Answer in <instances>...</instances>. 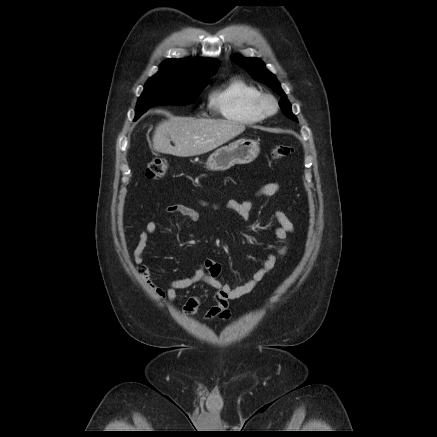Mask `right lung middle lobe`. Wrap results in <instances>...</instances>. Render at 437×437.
Segmentation results:
<instances>
[{
	"instance_id": "dd1d6c3e",
	"label": "right lung middle lobe",
	"mask_w": 437,
	"mask_h": 437,
	"mask_svg": "<svg viewBox=\"0 0 437 437\" xmlns=\"http://www.w3.org/2000/svg\"><path fill=\"white\" fill-rule=\"evenodd\" d=\"M208 82L209 80L187 82L162 75L151 77L146 82L144 91L137 102L135 119L156 105L191 104Z\"/></svg>"
}]
</instances>
